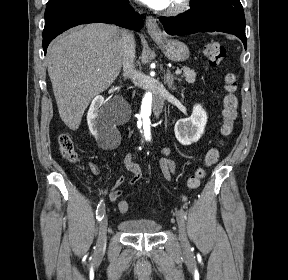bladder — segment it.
I'll return each instance as SVG.
<instances>
[{"mask_svg":"<svg viewBox=\"0 0 288 280\" xmlns=\"http://www.w3.org/2000/svg\"><path fill=\"white\" fill-rule=\"evenodd\" d=\"M118 227L129 234H156L162 226L153 219H125L119 222Z\"/></svg>","mask_w":288,"mask_h":280,"instance_id":"bladder-1","label":"bladder"}]
</instances>
